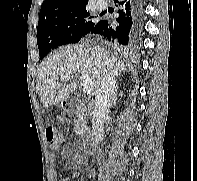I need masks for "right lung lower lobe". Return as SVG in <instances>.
Returning a JSON list of instances; mask_svg holds the SVG:
<instances>
[{
    "label": "right lung lower lobe",
    "mask_w": 197,
    "mask_h": 181,
    "mask_svg": "<svg viewBox=\"0 0 197 181\" xmlns=\"http://www.w3.org/2000/svg\"><path fill=\"white\" fill-rule=\"evenodd\" d=\"M117 4V24L112 25L107 20L96 23L90 33L102 35L109 41L128 45L138 32L143 17V0H114Z\"/></svg>",
    "instance_id": "1"
}]
</instances>
